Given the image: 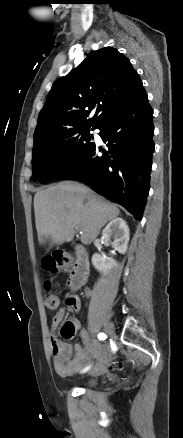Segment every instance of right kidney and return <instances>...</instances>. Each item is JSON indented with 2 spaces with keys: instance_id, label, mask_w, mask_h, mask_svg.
<instances>
[{
  "instance_id": "obj_1",
  "label": "right kidney",
  "mask_w": 183,
  "mask_h": 438,
  "mask_svg": "<svg viewBox=\"0 0 183 438\" xmlns=\"http://www.w3.org/2000/svg\"><path fill=\"white\" fill-rule=\"evenodd\" d=\"M129 236V228L122 218L113 219L102 231V241L105 244L111 243L112 247L121 254L127 251ZM92 263L95 269L104 274L117 265L114 259L98 253L92 256Z\"/></svg>"
}]
</instances>
